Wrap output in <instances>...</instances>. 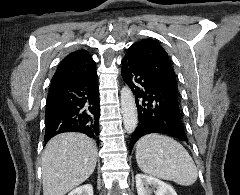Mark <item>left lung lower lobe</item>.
I'll list each match as a JSON object with an SVG mask.
<instances>
[{
    "label": "left lung lower lobe",
    "mask_w": 240,
    "mask_h": 195,
    "mask_svg": "<svg viewBox=\"0 0 240 195\" xmlns=\"http://www.w3.org/2000/svg\"><path fill=\"white\" fill-rule=\"evenodd\" d=\"M121 73L135 95L138 109L139 123L131 137L130 149L140 137L149 133L167 134L187 142L177 88L126 56L122 60Z\"/></svg>",
    "instance_id": "1"
}]
</instances>
